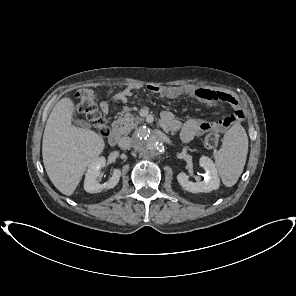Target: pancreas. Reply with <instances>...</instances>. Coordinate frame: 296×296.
<instances>
[{
    "instance_id": "cf45deb5",
    "label": "pancreas",
    "mask_w": 296,
    "mask_h": 296,
    "mask_svg": "<svg viewBox=\"0 0 296 296\" xmlns=\"http://www.w3.org/2000/svg\"><path fill=\"white\" fill-rule=\"evenodd\" d=\"M116 118L117 119L113 122V126L121 135L129 134L142 121L139 116L126 110L119 113Z\"/></svg>"
}]
</instances>
